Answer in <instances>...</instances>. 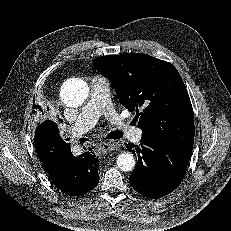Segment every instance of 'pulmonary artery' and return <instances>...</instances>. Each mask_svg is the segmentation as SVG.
Here are the masks:
<instances>
[{"mask_svg": "<svg viewBox=\"0 0 231 231\" xmlns=\"http://www.w3.org/2000/svg\"><path fill=\"white\" fill-rule=\"evenodd\" d=\"M105 116L111 123L116 124L122 134L138 143L142 140V130L130 127L122 120L110 103V84L102 76H94L90 80V98L82 109L76 122L72 125L71 133L74 136L82 135L93 128L99 117Z\"/></svg>", "mask_w": 231, "mask_h": 231, "instance_id": "obj_1", "label": "pulmonary artery"}]
</instances>
